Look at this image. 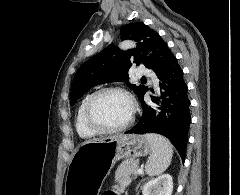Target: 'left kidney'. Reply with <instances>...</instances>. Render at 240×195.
I'll use <instances>...</instances> for the list:
<instances>
[{"mask_svg":"<svg viewBox=\"0 0 240 195\" xmlns=\"http://www.w3.org/2000/svg\"><path fill=\"white\" fill-rule=\"evenodd\" d=\"M172 191L173 179L169 173H162V175L150 179L142 189L143 195H171Z\"/></svg>","mask_w":240,"mask_h":195,"instance_id":"left-kidney-1","label":"left kidney"}]
</instances>
